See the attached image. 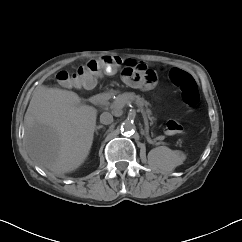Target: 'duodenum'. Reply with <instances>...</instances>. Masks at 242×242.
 Returning a JSON list of instances; mask_svg holds the SVG:
<instances>
[{"instance_id":"410a0bca","label":"duodenum","mask_w":242,"mask_h":242,"mask_svg":"<svg viewBox=\"0 0 242 242\" xmlns=\"http://www.w3.org/2000/svg\"><path fill=\"white\" fill-rule=\"evenodd\" d=\"M108 98V94H104V93H99V94H95L91 97V101L94 104H100L103 101H105Z\"/></svg>"}]
</instances>
